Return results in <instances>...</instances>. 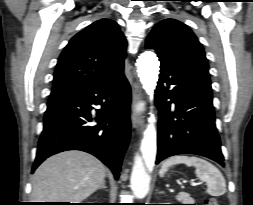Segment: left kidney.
<instances>
[{"label": "left kidney", "instance_id": "left-kidney-1", "mask_svg": "<svg viewBox=\"0 0 253 205\" xmlns=\"http://www.w3.org/2000/svg\"><path fill=\"white\" fill-rule=\"evenodd\" d=\"M194 203V201H191V204H193Z\"/></svg>", "mask_w": 253, "mask_h": 205}]
</instances>
